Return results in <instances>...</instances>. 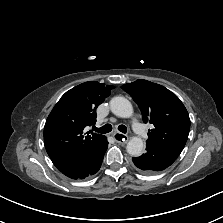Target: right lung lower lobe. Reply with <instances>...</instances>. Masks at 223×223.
<instances>
[{"label": "right lung lower lobe", "instance_id": "right-lung-lower-lobe-1", "mask_svg": "<svg viewBox=\"0 0 223 223\" xmlns=\"http://www.w3.org/2000/svg\"><path fill=\"white\" fill-rule=\"evenodd\" d=\"M107 147L108 142L107 139H105L87 157L60 169V171L72 179H84L85 177L95 174L101 167Z\"/></svg>", "mask_w": 223, "mask_h": 223}]
</instances>
